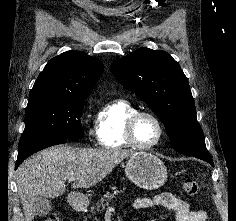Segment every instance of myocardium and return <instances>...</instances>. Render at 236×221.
Listing matches in <instances>:
<instances>
[{
	"label": "myocardium",
	"instance_id": "myocardium-1",
	"mask_svg": "<svg viewBox=\"0 0 236 221\" xmlns=\"http://www.w3.org/2000/svg\"><path fill=\"white\" fill-rule=\"evenodd\" d=\"M143 116L151 118L156 123V125L158 127V131H159L158 138L156 139V141L149 144V145L140 144L136 140V137H135L136 123ZM164 135H165V129H164V125H163L161 119L155 113H153L151 111H138L137 110L129 116V118L126 122L125 138H126L127 142L132 147H134L136 149L149 150V149L155 148L156 146H158L161 143Z\"/></svg>",
	"mask_w": 236,
	"mask_h": 221
}]
</instances>
